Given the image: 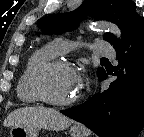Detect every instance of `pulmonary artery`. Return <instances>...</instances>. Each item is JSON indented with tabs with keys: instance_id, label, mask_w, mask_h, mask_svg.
<instances>
[{
	"instance_id": "e3ab8cb5",
	"label": "pulmonary artery",
	"mask_w": 144,
	"mask_h": 137,
	"mask_svg": "<svg viewBox=\"0 0 144 137\" xmlns=\"http://www.w3.org/2000/svg\"><path fill=\"white\" fill-rule=\"evenodd\" d=\"M73 47V44L67 40L64 39H56L53 44L52 48L56 54H63L67 52L69 49ZM92 50L97 53L104 56H110L113 57L115 55L114 49L111 47V45L105 41H95L92 46Z\"/></svg>"
}]
</instances>
